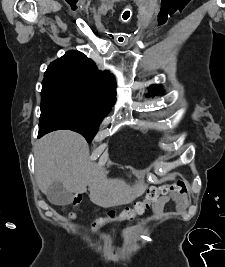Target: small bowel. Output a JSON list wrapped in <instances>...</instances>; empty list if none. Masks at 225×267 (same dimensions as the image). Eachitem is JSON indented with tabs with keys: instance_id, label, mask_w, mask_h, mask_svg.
<instances>
[{
	"instance_id": "c3829d8e",
	"label": "small bowel",
	"mask_w": 225,
	"mask_h": 267,
	"mask_svg": "<svg viewBox=\"0 0 225 267\" xmlns=\"http://www.w3.org/2000/svg\"><path fill=\"white\" fill-rule=\"evenodd\" d=\"M170 200L175 203V209L177 211H184L189 205V196L186 193H177L160 199L154 206V212L156 214L161 213L164 209V206Z\"/></svg>"
}]
</instances>
